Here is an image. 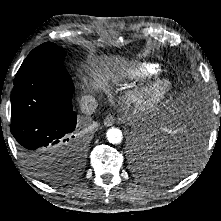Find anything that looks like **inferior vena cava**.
I'll return each instance as SVG.
<instances>
[{
  "label": "inferior vena cava",
  "instance_id": "1",
  "mask_svg": "<svg viewBox=\"0 0 221 221\" xmlns=\"http://www.w3.org/2000/svg\"><path fill=\"white\" fill-rule=\"evenodd\" d=\"M80 109L83 114L91 115L95 112L98 102L92 95H84L79 101Z\"/></svg>",
  "mask_w": 221,
  "mask_h": 221
}]
</instances>
